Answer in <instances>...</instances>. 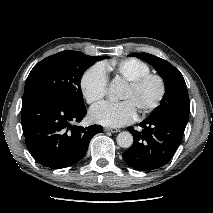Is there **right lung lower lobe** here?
Here are the masks:
<instances>
[{"instance_id": "1", "label": "right lung lower lobe", "mask_w": 213, "mask_h": 213, "mask_svg": "<svg viewBox=\"0 0 213 213\" xmlns=\"http://www.w3.org/2000/svg\"><path fill=\"white\" fill-rule=\"evenodd\" d=\"M86 113V107L71 108L46 91H24L21 122L33 158L49 168H65L78 162L91 138L103 131L100 125H71L80 122Z\"/></svg>"}]
</instances>
